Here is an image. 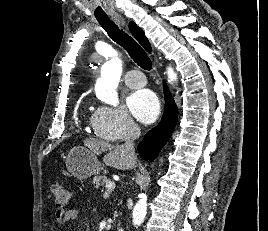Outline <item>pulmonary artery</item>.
Instances as JSON below:
<instances>
[{"label":"pulmonary artery","instance_id":"pulmonary-artery-1","mask_svg":"<svg viewBox=\"0 0 268 231\" xmlns=\"http://www.w3.org/2000/svg\"><path fill=\"white\" fill-rule=\"evenodd\" d=\"M124 81L130 88H141L146 84L143 73L138 69H130L126 73Z\"/></svg>","mask_w":268,"mask_h":231}]
</instances>
